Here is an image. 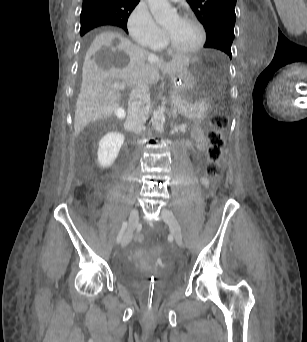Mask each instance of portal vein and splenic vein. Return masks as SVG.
I'll return each mask as SVG.
<instances>
[{
  "label": "portal vein and splenic vein",
  "instance_id": "obj_1",
  "mask_svg": "<svg viewBox=\"0 0 307 342\" xmlns=\"http://www.w3.org/2000/svg\"><path fill=\"white\" fill-rule=\"evenodd\" d=\"M108 88H123L122 90L125 92L127 89L124 87L123 82H109V84H107ZM181 108L180 104L176 105V110L178 111Z\"/></svg>",
  "mask_w": 307,
  "mask_h": 342
}]
</instances>
